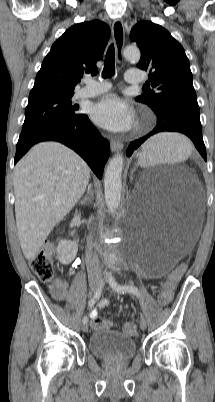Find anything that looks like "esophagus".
Masks as SVG:
<instances>
[{"instance_id":"34e87169","label":"esophagus","mask_w":215,"mask_h":402,"mask_svg":"<svg viewBox=\"0 0 215 402\" xmlns=\"http://www.w3.org/2000/svg\"><path fill=\"white\" fill-rule=\"evenodd\" d=\"M112 35L116 47V52H117V59L119 62L122 61V52H123V47H124V25L123 21L121 19H116L113 22L112 25ZM111 146V151L112 152H117L123 149V144L120 141L117 140H111L110 142Z\"/></svg>"}]
</instances>
